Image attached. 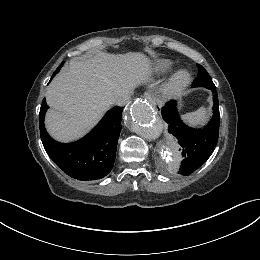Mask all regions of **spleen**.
I'll return each mask as SVG.
<instances>
[{
  "label": "spleen",
  "instance_id": "1",
  "mask_svg": "<svg viewBox=\"0 0 260 260\" xmlns=\"http://www.w3.org/2000/svg\"><path fill=\"white\" fill-rule=\"evenodd\" d=\"M181 119L189 126L196 127L203 125L208 120V111L205 107H200L198 110L186 113L181 116Z\"/></svg>",
  "mask_w": 260,
  "mask_h": 260
}]
</instances>
